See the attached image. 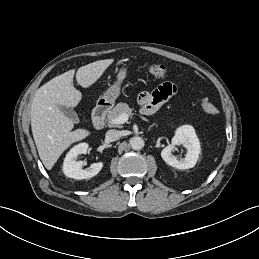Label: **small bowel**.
<instances>
[{
	"instance_id": "small-bowel-1",
	"label": "small bowel",
	"mask_w": 259,
	"mask_h": 259,
	"mask_svg": "<svg viewBox=\"0 0 259 259\" xmlns=\"http://www.w3.org/2000/svg\"><path fill=\"white\" fill-rule=\"evenodd\" d=\"M176 86L171 82L159 85L152 92H142L138 96V103L145 114H151L162 106L171 96L176 93Z\"/></svg>"
}]
</instances>
